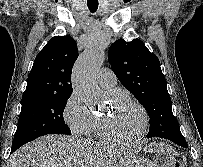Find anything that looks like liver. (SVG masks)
I'll return each instance as SVG.
<instances>
[{"label": "liver", "instance_id": "liver-1", "mask_svg": "<svg viewBox=\"0 0 203 167\" xmlns=\"http://www.w3.org/2000/svg\"><path fill=\"white\" fill-rule=\"evenodd\" d=\"M134 159L133 153L115 146L46 135L14 152L8 167H127Z\"/></svg>", "mask_w": 203, "mask_h": 167}]
</instances>
